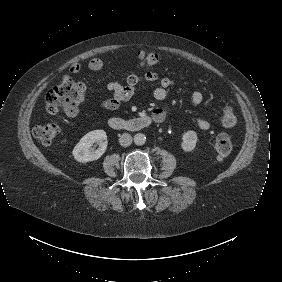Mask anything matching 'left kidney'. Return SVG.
<instances>
[{"instance_id": "left-kidney-1", "label": "left kidney", "mask_w": 282, "mask_h": 282, "mask_svg": "<svg viewBox=\"0 0 282 282\" xmlns=\"http://www.w3.org/2000/svg\"><path fill=\"white\" fill-rule=\"evenodd\" d=\"M197 134L195 131H187L182 136L181 147L185 152L192 151L197 143Z\"/></svg>"}]
</instances>
